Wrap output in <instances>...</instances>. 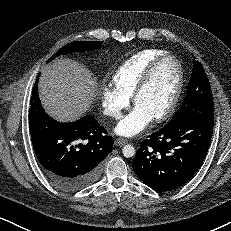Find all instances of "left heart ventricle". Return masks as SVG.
Masks as SVG:
<instances>
[{
  "instance_id": "left-heart-ventricle-1",
  "label": "left heart ventricle",
  "mask_w": 231,
  "mask_h": 231,
  "mask_svg": "<svg viewBox=\"0 0 231 231\" xmlns=\"http://www.w3.org/2000/svg\"><path fill=\"white\" fill-rule=\"evenodd\" d=\"M176 82V63L173 60H165L157 67L148 86L139 96L136 106L155 118L168 106Z\"/></svg>"
}]
</instances>
